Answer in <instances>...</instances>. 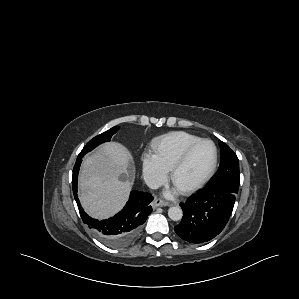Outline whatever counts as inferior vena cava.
<instances>
[{"label":"inferior vena cava","instance_id":"602c4592","mask_svg":"<svg viewBox=\"0 0 299 299\" xmlns=\"http://www.w3.org/2000/svg\"><path fill=\"white\" fill-rule=\"evenodd\" d=\"M144 180H145L146 185L151 189H157L160 187V183L156 179H154L150 176H146L144 178Z\"/></svg>","mask_w":299,"mask_h":299}]
</instances>
